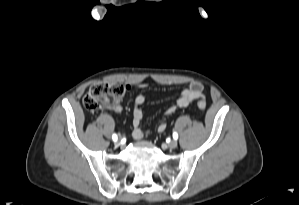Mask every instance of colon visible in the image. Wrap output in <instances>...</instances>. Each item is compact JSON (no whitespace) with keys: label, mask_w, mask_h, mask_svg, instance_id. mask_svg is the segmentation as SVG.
<instances>
[{"label":"colon","mask_w":299,"mask_h":205,"mask_svg":"<svg viewBox=\"0 0 299 205\" xmlns=\"http://www.w3.org/2000/svg\"><path fill=\"white\" fill-rule=\"evenodd\" d=\"M126 88L117 83L98 81L93 83L83 99L84 107L95 112L102 107H112L124 96ZM198 108L202 111L206 109V102L200 98L197 102Z\"/></svg>","instance_id":"1"}]
</instances>
